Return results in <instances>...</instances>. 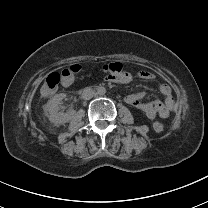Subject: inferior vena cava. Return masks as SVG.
<instances>
[{
  "instance_id": "602c4592",
  "label": "inferior vena cava",
  "mask_w": 208,
  "mask_h": 208,
  "mask_svg": "<svg viewBox=\"0 0 208 208\" xmlns=\"http://www.w3.org/2000/svg\"><path fill=\"white\" fill-rule=\"evenodd\" d=\"M94 94H95V92L93 91L92 88L86 87L83 89L82 98L85 100H89L94 96Z\"/></svg>"
}]
</instances>
